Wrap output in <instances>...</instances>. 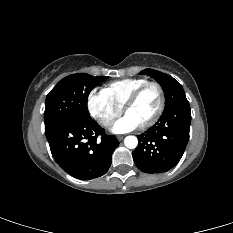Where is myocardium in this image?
<instances>
[{
	"mask_svg": "<svg viewBox=\"0 0 233 233\" xmlns=\"http://www.w3.org/2000/svg\"><path fill=\"white\" fill-rule=\"evenodd\" d=\"M150 86L155 87L158 90L159 93V106L157 111L154 113V115L146 122L141 124V127L147 128L152 126L156 123V121L160 118L162 115L164 108H165V93L163 87L155 81H147L146 83L139 86L137 89H135L131 95L127 98L126 102L123 105V109L125 112H127L128 108L133 105L140 95Z\"/></svg>",
	"mask_w": 233,
	"mask_h": 233,
	"instance_id": "1",
	"label": "myocardium"
}]
</instances>
